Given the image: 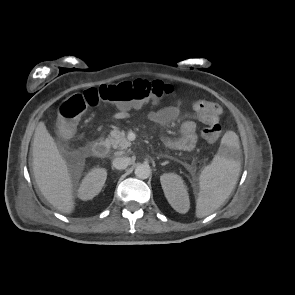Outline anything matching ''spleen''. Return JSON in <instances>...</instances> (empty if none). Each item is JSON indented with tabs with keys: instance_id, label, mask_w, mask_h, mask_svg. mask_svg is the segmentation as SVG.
<instances>
[{
	"instance_id": "spleen-1",
	"label": "spleen",
	"mask_w": 295,
	"mask_h": 295,
	"mask_svg": "<svg viewBox=\"0 0 295 295\" xmlns=\"http://www.w3.org/2000/svg\"><path fill=\"white\" fill-rule=\"evenodd\" d=\"M239 140L233 131L221 139V145L213 161L199 176V193L196 199V217L203 218L217 210L235 187L240 169Z\"/></svg>"
}]
</instances>
